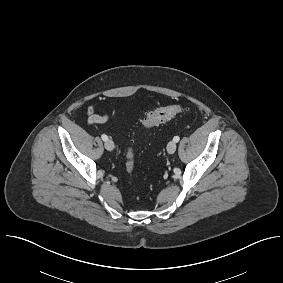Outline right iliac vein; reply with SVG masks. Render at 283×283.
Wrapping results in <instances>:
<instances>
[{
  "mask_svg": "<svg viewBox=\"0 0 283 283\" xmlns=\"http://www.w3.org/2000/svg\"><path fill=\"white\" fill-rule=\"evenodd\" d=\"M105 148L108 150V151H112L114 149V143L112 140H106L105 141Z\"/></svg>",
  "mask_w": 283,
  "mask_h": 283,
  "instance_id": "1",
  "label": "right iliac vein"
}]
</instances>
